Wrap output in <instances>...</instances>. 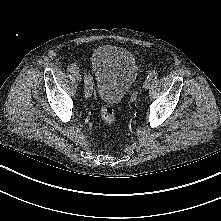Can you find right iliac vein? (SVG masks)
<instances>
[{
  "mask_svg": "<svg viewBox=\"0 0 221 221\" xmlns=\"http://www.w3.org/2000/svg\"><path fill=\"white\" fill-rule=\"evenodd\" d=\"M74 76H75V78H76L77 81L80 82V81L82 80V76H81L80 73L76 72V73L74 74Z\"/></svg>",
  "mask_w": 221,
  "mask_h": 221,
  "instance_id": "1",
  "label": "right iliac vein"
}]
</instances>
